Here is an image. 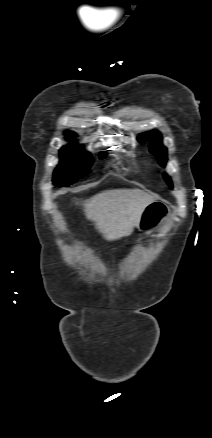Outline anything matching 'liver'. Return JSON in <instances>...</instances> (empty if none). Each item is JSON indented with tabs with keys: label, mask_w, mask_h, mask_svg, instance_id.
Wrapping results in <instances>:
<instances>
[{
	"label": "liver",
	"mask_w": 212,
	"mask_h": 438,
	"mask_svg": "<svg viewBox=\"0 0 212 438\" xmlns=\"http://www.w3.org/2000/svg\"><path fill=\"white\" fill-rule=\"evenodd\" d=\"M155 198L137 189H118L99 193L84 202L86 217L93 221L104 238L112 241L128 236L138 227L145 207Z\"/></svg>",
	"instance_id": "6515ba94"
}]
</instances>
